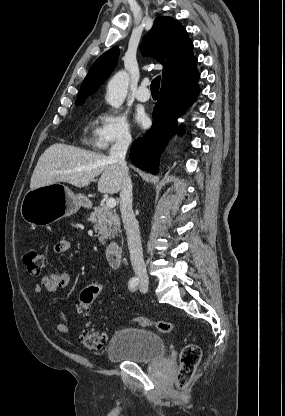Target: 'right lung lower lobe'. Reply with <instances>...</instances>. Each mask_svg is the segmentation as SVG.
<instances>
[{
    "label": "right lung lower lobe",
    "mask_w": 285,
    "mask_h": 416,
    "mask_svg": "<svg viewBox=\"0 0 285 416\" xmlns=\"http://www.w3.org/2000/svg\"><path fill=\"white\" fill-rule=\"evenodd\" d=\"M199 73L188 74L161 87L153 110V125L142 139L132 145L130 159L140 169L156 174L160 155L171 135L176 131V121L186 106L198 93ZM182 128H179L181 133Z\"/></svg>",
    "instance_id": "98d812e1"
}]
</instances>
